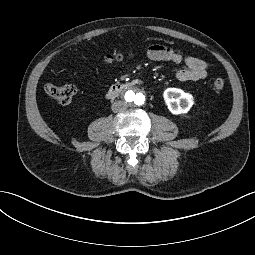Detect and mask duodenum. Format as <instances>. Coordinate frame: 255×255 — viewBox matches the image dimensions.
I'll return each instance as SVG.
<instances>
[{
    "mask_svg": "<svg viewBox=\"0 0 255 255\" xmlns=\"http://www.w3.org/2000/svg\"><path fill=\"white\" fill-rule=\"evenodd\" d=\"M137 85H140L139 80H133V81H129V82L113 84L107 92V97L108 98H115L120 93H122L126 90H129V89H132L133 87H135Z\"/></svg>",
    "mask_w": 255,
    "mask_h": 255,
    "instance_id": "1",
    "label": "duodenum"
}]
</instances>
